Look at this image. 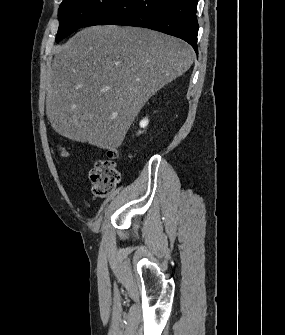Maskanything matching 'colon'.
<instances>
[{
	"label": "colon",
	"mask_w": 285,
	"mask_h": 335,
	"mask_svg": "<svg viewBox=\"0 0 285 335\" xmlns=\"http://www.w3.org/2000/svg\"><path fill=\"white\" fill-rule=\"evenodd\" d=\"M63 156H68L61 150ZM116 152H107L105 158L98 160L90 170L93 193L98 197H106L121 180L120 170L115 162Z\"/></svg>",
	"instance_id": "5ec220e1"
}]
</instances>
